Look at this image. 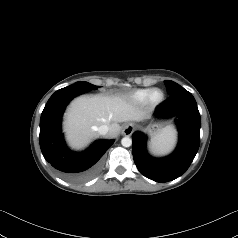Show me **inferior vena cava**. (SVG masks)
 <instances>
[{"instance_id": "inferior-vena-cava-1", "label": "inferior vena cava", "mask_w": 238, "mask_h": 238, "mask_svg": "<svg viewBox=\"0 0 238 238\" xmlns=\"http://www.w3.org/2000/svg\"><path fill=\"white\" fill-rule=\"evenodd\" d=\"M100 135H106L109 132V127L107 125H101L97 128Z\"/></svg>"}]
</instances>
